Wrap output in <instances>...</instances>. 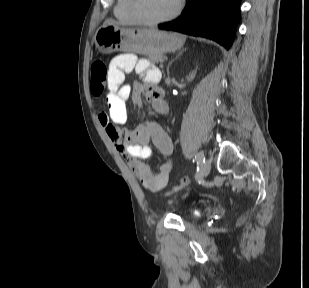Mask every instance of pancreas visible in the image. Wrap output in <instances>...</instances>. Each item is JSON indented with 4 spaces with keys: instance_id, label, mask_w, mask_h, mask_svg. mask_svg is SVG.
<instances>
[{
    "instance_id": "pancreas-1",
    "label": "pancreas",
    "mask_w": 309,
    "mask_h": 288,
    "mask_svg": "<svg viewBox=\"0 0 309 288\" xmlns=\"http://www.w3.org/2000/svg\"><path fill=\"white\" fill-rule=\"evenodd\" d=\"M148 59L152 64H156L158 62H163V56L162 55L149 56Z\"/></svg>"
}]
</instances>
